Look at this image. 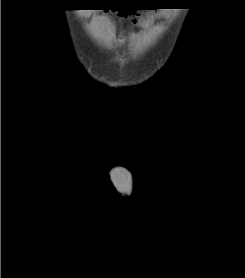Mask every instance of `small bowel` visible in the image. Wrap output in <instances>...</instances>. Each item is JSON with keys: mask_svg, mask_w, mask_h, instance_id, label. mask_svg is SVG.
Masks as SVG:
<instances>
[{"mask_svg": "<svg viewBox=\"0 0 245 278\" xmlns=\"http://www.w3.org/2000/svg\"><path fill=\"white\" fill-rule=\"evenodd\" d=\"M114 1V0H113ZM116 1H121L122 2V0H116ZM123 1H126V0H123ZM111 4H112V2H110ZM114 3V2H113Z\"/></svg>", "mask_w": 245, "mask_h": 278, "instance_id": "small-bowel-1", "label": "small bowel"}]
</instances>
